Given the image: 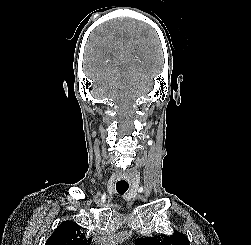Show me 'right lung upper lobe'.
Returning a JSON list of instances; mask_svg holds the SVG:
<instances>
[{"mask_svg": "<svg viewBox=\"0 0 251 245\" xmlns=\"http://www.w3.org/2000/svg\"><path fill=\"white\" fill-rule=\"evenodd\" d=\"M81 227L72 221L62 222L48 238L45 245H90Z\"/></svg>", "mask_w": 251, "mask_h": 245, "instance_id": "cb5924a9", "label": "right lung upper lobe"}]
</instances>
